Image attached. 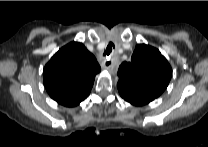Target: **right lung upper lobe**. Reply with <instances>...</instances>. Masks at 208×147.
I'll use <instances>...</instances> for the list:
<instances>
[{"label":"right lung upper lobe","mask_w":208,"mask_h":147,"mask_svg":"<svg viewBox=\"0 0 208 147\" xmlns=\"http://www.w3.org/2000/svg\"><path fill=\"white\" fill-rule=\"evenodd\" d=\"M101 68L82 43L62 47L45 65L43 80L52 99L66 107L78 105L90 93Z\"/></svg>","instance_id":"obj_1"}]
</instances>
